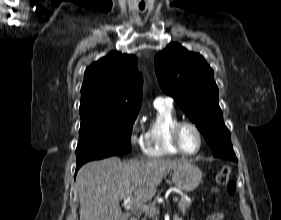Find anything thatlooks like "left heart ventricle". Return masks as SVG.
<instances>
[{
	"instance_id": "1",
	"label": "left heart ventricle",
	"mask_w": 281,
	"mask_h": 220,
	"mask_svg": "<svg viewBox=\"0 0 281 220\" xmlns=\"http://www.w3.org/2000/svg\"><path fill=\"white\" fill-rule=\"evenodd\" d=\"M181 144L187 152H193L198 148L199 139L196 132L190 127H184L180 134Z\"/></svg>"
}]
</instances>
